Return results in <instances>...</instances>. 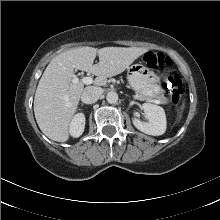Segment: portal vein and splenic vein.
Segmentation results:
<instances>
[{
  "mask_svg": "<svg viewBox=\"0 0 220 220\" xmlns=\"http://www.w3.org/2000/svg\"><path fill=\"white\" fill-rule=\"evenodd\" d=\"M77 81H78V78L75 77V78L73 79V82H77ZM82 82H83L84 84H86V85H90V84L93 83V79H92L91 77H84V78H82ZM149 101L154 102V103H157V104L160 103V101H159V100H156V99H149Z\"/></svg>",
  "mask_w": 220,
  "mask_h": 220,
  "instance_id": "1",
  "label": "portal vein and splenic vein"
}]
</instances>
